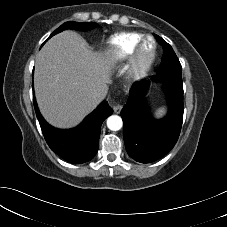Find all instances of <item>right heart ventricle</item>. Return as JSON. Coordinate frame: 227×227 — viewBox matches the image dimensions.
Returning <instances> with one entry per match:
<instances>
[{"label":"right heart ventricle","mask_w":227,"mask_h":227,"mask_svg":"<svg viewBox=\"0 0 227 227\" xmlns=\"http://www.w3.org/2000/svg\"><path fill=\"white\" fill-rule=\"evenodd\" d=\"M143 37L141 33L123 32L110 38L107 43V55L110 62L120 63L129 58Z\"/></svg>","instance_id":"e07e8e85"}]
</instances>
